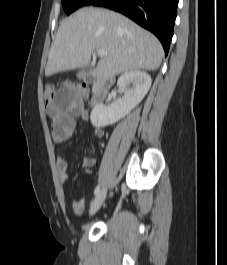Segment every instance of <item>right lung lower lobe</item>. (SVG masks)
I'll return each instance as SVG.
<instances>
[{"label": "right lung lower lobe", "mask_w": 227, "mask_h": 265, "mask_svg": "<svg viewBox=\"0 0 227 265\" xmlns=\"http://www.w3.org/2000/svg\"><path fill=\"white\" fill-rule=\"evenodd\" d=\"M179 0H93L89 5L118 11L151 31L167 55L174 32Z\"/></svg>", "instance_id": "right-lung-lower-lobe-1"}]
</instances>
